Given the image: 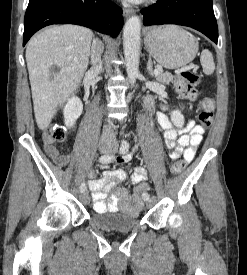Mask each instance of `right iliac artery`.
<instances>
[{"label": "right iliac artery", "instance_id": "right-iliac-artery-1", "mask_svg": "<svg viewBox=\"0 0 247 275\" xmlns=\"http://www.w3.org/2000/svg\"><path fill=\"white\" fill-rule=\"evenodd\" d=\"M114 157V155L105 154L99 158V161L103 164H107L110 163L114 159ZM79 188L81 192H84L86 190V184L82 183Z\"/></svg>", "mask_w": 247, "mask_h": 275}]
</instances>
